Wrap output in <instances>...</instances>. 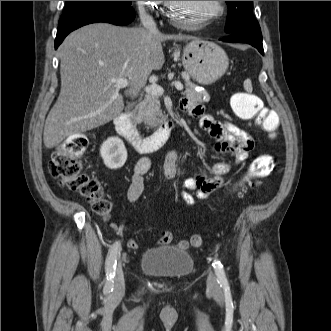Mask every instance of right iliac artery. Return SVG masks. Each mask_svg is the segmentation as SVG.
Instances as JSON below:
<instances>
[{"instance_id":"1","label":"right iliac artery","mask_w":331,"mask_h":331,"mask_svg":"<svg viewBox=\"0 0 331 331\" xmlns=\"http://www.w3.org/2000/svg\"><path fill=\"white\" fill-rule=\"evenodd\" d=\"M120 242H115L109 252L107 261H106V291H112L114 286V276L116 269L117 255L120 252Z\"/></svg>"}]
</instances>
